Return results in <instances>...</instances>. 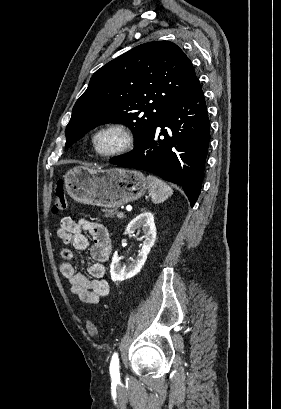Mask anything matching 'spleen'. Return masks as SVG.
Listing matches in <instances>:
<instances>
[{
	"mask_svg": "<svg viewBox=\"0 0 281 409\" xmlns=\"http://www.w3.org/2000/svg\"><path fill=\"white\" fill-rule=\"evenodd\" d=\"M148 188L149 194H151L152 202H155V205H158V202H164L166 198H169L173 194V190L169 184L157 178V176H151L148 174Z\"/></svg>",
	"mask_w": 281,
	"mask_h": 409,
	"instance_id": "3e777b00",
	"label": "spleen"
}]
</instances>
